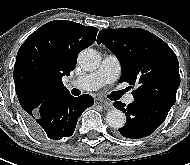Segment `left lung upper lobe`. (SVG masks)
I'll list each match as a JSON object with an SVG mask.
<instances>
[{
	"instance_id": "1",
	"label": "left lung upper lobe",
	"mask_w": 190,
	"mask_h": 165,
	"mask_svg": "<svg viewBox=\"0 0 190 165\" xmlns=\"http://www.w3.org/2000/svg\"><path fill=\"white\" fill-rule=\"evenodd\" d=\"M97 43H103L120 60V83L136 86L134 99L175 104L180 85L179 63L163 40L141 28H119L101 30Z\"/></svg>"
}]
</instances>
